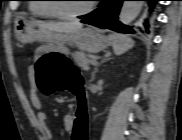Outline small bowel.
<instances>
[{"label":"small bowel","instance_id":"1","mask_svg":"<svg viewBox=\"0 0 182 140\" xmlns=\"http://www.w3.org/2000/svg\"><path fill=\"white\" fill-rule=\"evenodd\" d=\"M40 57H42V52L40 50H37L34 59L37 61ZM34 72V66H31L29 68V74H33ZM31 103L34 108L37 109V120L40 124V127L44 133V136L47 140L52 139V131L47 123L48 115L47 113L42 109V103L35 91H32L30 94ZM72 124V117L71 116H65L64 117V126L67 130H70Z\"/></svg>","mask_w":182,"mask_h":140}]
</instances>
